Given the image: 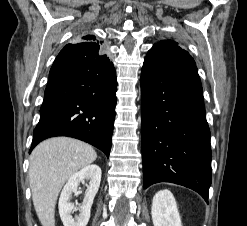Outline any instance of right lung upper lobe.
I'll return each instance as SVG.
<instances>
[{
	"mask_svg": "<svg viewBox=\"0 0 247 226\" xmlns=\"http://www.w3.org/2000/svg\"><path fill=\"white\" fill-rule=\"evenodd\" d=\"M82 41L84 42H96V37L93 35H85L81 37ZM97 43H99V41L97 40ZM100 44H102V42H100Z\"/></svg>",
	"mask_w": 247,
	"mask_h": 226,
	"instance_id": "cb5924a9",
	"label": "right lung upper lobe"
}]
</instances>
